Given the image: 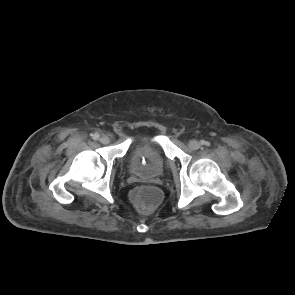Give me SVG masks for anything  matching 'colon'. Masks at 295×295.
Instances as JSON below:
<instances>
[{
    "mask_svg": "<svg viewBox=\"0 0 295 295\" xmlns=\"http://www.w3.org/2000/svg\"><path fill=\"white\" fill-rule=\"evenodd\" d=\"M131 199L141 210H151L160 200V191L149 185L136 187L131 193Z\"/></svg>",
    "mask_w": 295,
    "mask_h": 295,
    "instance_id": "5ec220e1",
    "label": "colon"
}]
</instances>
